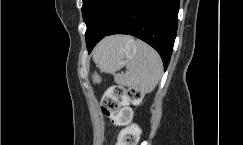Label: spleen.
<instances>
[{
  "mask_svg": "<svg viewBox=\"0 0 243 145\" xmlns=\"http://www.w3.org/2000/svg\"><path fill=\"white\" fill-rule=\"evenodd\" d=\"M135 43L136 55L126 63L127 71L125 73L114 75V81L141 93H150L161 78L162 60L148 44L139 40Z\"/></svg>",
  "mask_w": 243,
  "mask_h": 145,
  "instance_id": "1",
  "label": "spleen"
}]
</instances>
